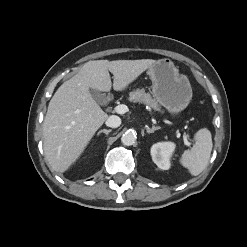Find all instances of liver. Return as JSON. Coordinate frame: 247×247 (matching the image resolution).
Returning <instances> with one entry per match:
<instances>
[{
	"instance_id": "liver-1",
	"label": "liver",
	"mask_w": 247,
	"mask_h": 247,
	"mask_svg": "<svg viewBox=\"0 0 247 247\" xmlns=\"http://www.w3.org/2000/svg\"><path fill=\"white\" fill-rule=\"evenodd\" d=\"M155 60H95L65 81L49 102L43 122L44 152L51 167L66 171L84 152L108 115L90 90L123 91ZM109 71L113 74V84Z\"/></svg>"
}]
</instances>
